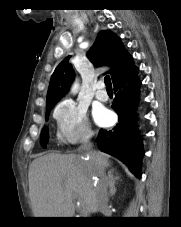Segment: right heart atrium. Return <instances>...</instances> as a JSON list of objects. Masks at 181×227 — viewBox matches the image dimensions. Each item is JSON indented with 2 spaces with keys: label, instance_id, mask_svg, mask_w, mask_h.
I'll list each match as a JSON object with an SVG mask.
<instances>
[{
  "label": "right heart atrium",
  "instance_id": "obj_1",
  "mask_svg": "<svg viewBox=\"0 0 181 227\" xmlns=\"http://www.w3.org/2000/svg\"><path fill=\"white\" fill-rule=\"evenodd\" d=\"M57 134L61 142L76 144L91 139L93 133L84 107L72 99L60 101L54 110Z\"/></svg>",
  "mask_w": 181,
  "mask_h": 227
}]
</instances>
